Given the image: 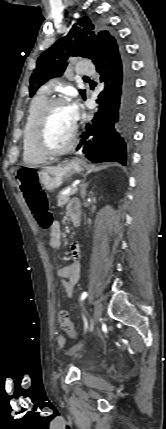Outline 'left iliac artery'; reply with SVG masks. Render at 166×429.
<instances>
[{
	"label": "left iliac artery",
	"mask_w": 166,
	"mask_h": 429,
	"mask_svg": "<svg viewBox=\"0 0 166 429\" xmlns=\"http://www.w3.org/2000/svg\"><path fill=\"white\" fill-rule=\"evenodd\" d=\"M87 295H88L87 292H83L81 295V301H83L87 297ZM84 322H85V330H86L87 329V321L85 318H84Z\"/></svg>",
	"instance_id": "left-iliac-artery-1"
}]
</instances>
